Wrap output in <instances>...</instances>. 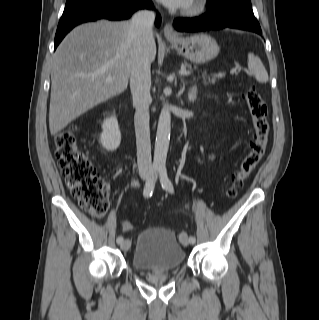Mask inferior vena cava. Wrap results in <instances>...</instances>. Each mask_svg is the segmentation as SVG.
<instances>
[{"instance_id": "obj_1", "label": "inferior vena cava", "mask_w": 319, "mask_h": 320, "mask_svg": "<svg viewBox=\"0 0 319 320\" xmlns=\"http://www.w3.org/2000/svg\"><path fill=\"white\" fill-rule=\"evenodd\" d=\"M154 19L155 15L152 11H138L132 16L129 28V35L134 40L136 46V54L132 62L130 73V89L133 97V104L136 107L134 124L137 145V163L141 176L150 175L152 172L149 129L151 73L148 45L153 40Z\"/></svg>"}]
</instances>
